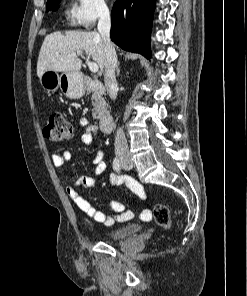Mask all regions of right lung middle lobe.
<instances>
[{"label":"right lung middle lobe","instance_id":"1","mask_svg":"<svg viewBox=\"0 0 247 296\" xmlns=\"http://www.w3.org/2000/svg\"><path fill=\"white\" fill-rule=\"evenodd\" d=\"M61 0H48L46 7L47 9H51V10H57L58 4L60 3Z\"/></svg>","mask_w":247,"mask_h":296}]
</instances>
